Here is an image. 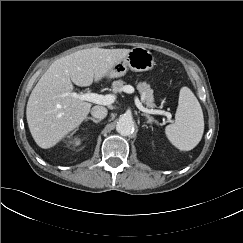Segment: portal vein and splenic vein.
<instances>
[{"mask_svg": "<svg viewBox=\"0 0 243 243\" xmlns=\"http://www.w3.org/2000/svg\"><path fill=\"white\" fill-rule=\"evenodd\" d=\"M122 91L131 94V93L135 92V89L131 85H125V86H123ZM68 95H70L74 98H77L81 101H88V102H92L95 104H101V105H110V104L114 103L116 100V95H114V94L99 95L97 93L78 94L75 92H70V93H68ZM135 104H136L137 108L142 112L149 113V114L165 115L168 118V120L170 122H172L171 114L169 112H166L164 110L145 108L137 96L135 97Z\"/></svg>", "mask_w": 243, "mask_h": 243, "instance_id": "1", "label": "portal vein and splenic vein"}]
</instances>
